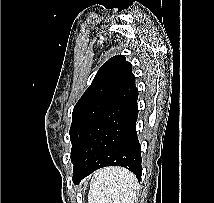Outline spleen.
<instances>
[{
	"instance_id": "3e777b00",
	"label": "spleen",
	"mask_w": 214,
	"mask_h": 203,
	"mask_svg": "<svg viewBox=\"0 0 214 203\" xmlns=\"http://www.w3.org/2000/svg\"><path fill=\"white\" fill-rule=\"evenodd\" d=\"M138 182L124 168L111 167L94 173L88 203H135Z\"/></svg>"
}]
</instances>
